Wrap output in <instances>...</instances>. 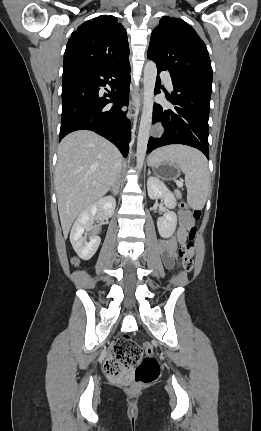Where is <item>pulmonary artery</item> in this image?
<instances>
[{
    "label": "pulmonary artery",
    "mask_w": 261,
    "mask_h": 431,
    "mask_svg": "<svg viewBox=\"0 0 261 431\" xmlns=\"http://www.w3.org/2000/svg\"><path fill=\"white\" fill-rule=\"evenodd\" d=\"M160 75H161L162 79L164 80L166 86L170 90H172L173 89V84H172V79H171L170 74L168 72H166V71H162Z\"/></svg>",
    "instance_id": "pulmonary-artery-1"
}]
</instances>
